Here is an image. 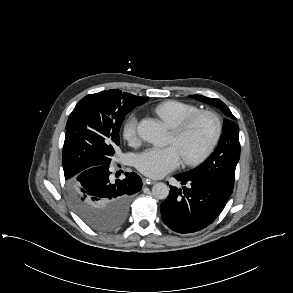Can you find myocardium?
Instances as JSON below:
<instances>
[{
    "mask_svg": "<svg viewBox=\"0 0 293 293\" xmlns=\"http://www.w3.org/2000/svg\"><path fill=\"white\" fill-rule=\"evenodd\" d=\"M207 118L213 124L212 135L207 144L199 152L183 156V159L188 165H195L205 160L215 149L222 135L223 125L220 117L213 111L201 110L176 126L172 127V133L176 139L182 138L188 130L200 119Z\"/></svg>",
    "mask_w": 293,
    "mask_h": 293,
    "instance_id": "myocardium-1",
    "label": "myocardium"
}]
</instances>
